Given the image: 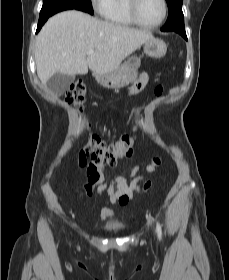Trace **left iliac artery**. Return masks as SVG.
I'll return each mask as SVG.
<instances>
[{
    "mask_svg": "<svg viewBox=\"0 0 229 280\" xmlns=\"http://www.w3.org/2000/svg\"><path fill=\"white\" fill-rule=\"evenodd\" d=\"M156 230H157L158 238L161 239V237H162V230H161V225H160L159 222H157Z\"/></svg>",
    "mask_w": 229,
    "mask_h": 280,
    "instance_id": "44dca946",
    "label": "left iliac artery"
}]
</instances>
